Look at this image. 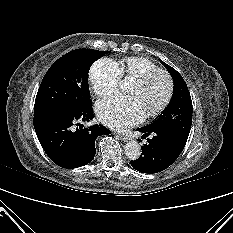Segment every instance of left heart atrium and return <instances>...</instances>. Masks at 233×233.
I'll use <instances>...</instances> for the list:
<instances>
[{"instance_id": "obj_1", "label": "left heart atrium", "mask_w": 233, "mask_h": 233, "mask_svg": "<svg viewBox=\"0 0 233 233\" xmlns=\"http://www.w3.org/2000/svg\"><path fill=\"white\" fill-rule=\"evenodd\" d=\"M99 120L115 129H124L143 120L146 111L136 96H114L96 105Z\"/></svg>"}]
</instances>
